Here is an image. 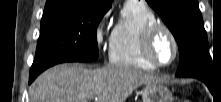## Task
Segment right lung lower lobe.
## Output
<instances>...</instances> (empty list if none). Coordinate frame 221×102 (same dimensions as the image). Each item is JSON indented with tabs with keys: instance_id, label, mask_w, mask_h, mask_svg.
I'll list each match as a JSON object with an SVG mask.
<instances>
[{
	"instance_id": "obj_1",
	"label": "right lung lower lobe",
	"mask_w": 221,
	"mask_h": 102,
	"mask_svg": "<svg viewBox=\"0 0 221 102\" xmlns=\"http://www.w3.org/2000/svg\"><path fill=\"white\" fill-rule=\"evenodd\" d=\"M37 76H30L29 77V84L36 78Z\"/></svg>"
}]
</instances>
